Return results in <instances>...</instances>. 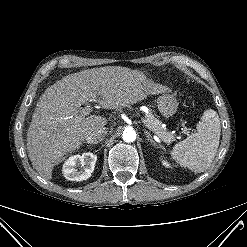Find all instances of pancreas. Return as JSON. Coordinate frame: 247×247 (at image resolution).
<instances>
[{
  "instance_id": "obj_1",
  "label": "pancreas",
  "mask_w": 247,
  "mask_h": 247,
  "mask_svg": "<svg viewBox=\"0 0 247 247\" xmlns=\"http://www.w3.org/2000/svg\"><path fill=\"white\" fill-rule=\"evenodd\" d=\"M145 120L147 121L148 125L151 127V130L154 133H157L159 138H161L166 143H171L175 140V135L169 131H167L166 128L162 127V122L157 119L154 115L148 114L145 117Z\"/></svg>"
}]
</instances>
